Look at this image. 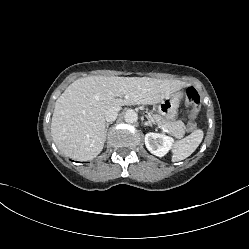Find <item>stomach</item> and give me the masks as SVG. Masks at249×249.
Masks as SVG:
<instances>
[{
    "label": "stomach",
    "mask_w": 249,
    "mask_h": 249,
    "mask_svg": "<svg viewBox=\"0 0 249 249\" xmlns=\"http://www.w3.org/2000/svg\"><path fill=\"white\" fill-rule=\"evenodd\" d=\"M180 96L178 93H172L164 98L158 105L159 115L168 122H173L177 119Z\"/></svg>",
    "instance_id": "0dacf381"
}]
</instances>
